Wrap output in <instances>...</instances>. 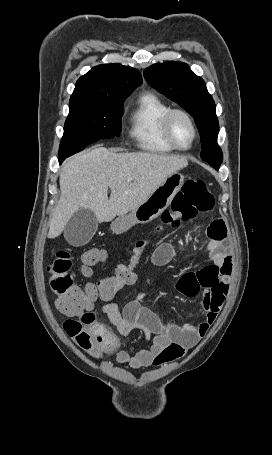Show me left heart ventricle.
I'll return each mask as SVG.
<instances>
[{
	"label": "left heart ventricle",
	"instance_id": "obj_1",
	"mask_svg": "<svg viewBox=\"0 0 272 455\" xmlns=\"http://www.w3.org/2000/svg\"><path fill=\"white\" fill-rule=\"evenodd\" d=\"M172 136L175 142L181 147H187L193 137V132L188 121L180 116L176 115L171 123Z\"/></svg>",
	"mask_w": 272,
	"mask_h": 455
}]
</instances>
